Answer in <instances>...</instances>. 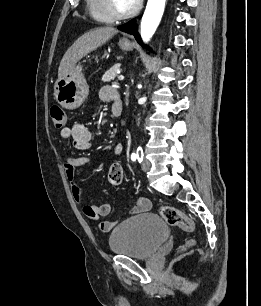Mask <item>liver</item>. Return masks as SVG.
<instances>
[{
  "mask_svg": "<svg viewBox=\"0 0 261 306\" xmlns=\"http://www.w3.org/2000/svg\"><path fill=\"white\" fill-rule=\"evenodd\" d=\"M117 33L118 30L113 27H101L79 37L64 54L58 68V79L65 77L80 59L105 44Z\"/></svg>",
  "mask_w": 261,
  "mask_h": 306,
  "instance_id": "liver-1",
  "label": "liver"
}]
</instances>
